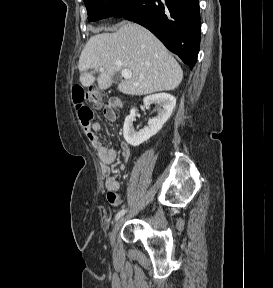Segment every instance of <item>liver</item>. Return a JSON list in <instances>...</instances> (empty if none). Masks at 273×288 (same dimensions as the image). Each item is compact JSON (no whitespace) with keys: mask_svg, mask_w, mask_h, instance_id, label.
Instances as JSON below:
<instances>
[{"mask_svg":"<svg viewBox=\"0 0 273 288\" xmlns=\"http://www.w3.org/2000/svg\"><path fill=\"white\" fill-rule=\"evenodd\" d=\"M78 69L83 86L90 87L96 80L101 90L112 85L120 69H128L132 77L122 81L118 90L136 96L174 90L183 79L180 65L165 46L146 28L131 22L114 33L92 36L81 52ZM90 69L100 72L99 76Z\"/></svg>","mask_w":273,"mask_h":288,"instance_id":"1","label":"liver"}]
</instances>
